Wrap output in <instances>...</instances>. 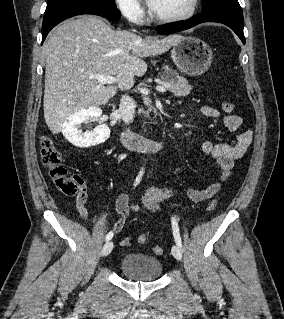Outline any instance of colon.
<instances>
[{
  "mask_svg": "<svg viewBox=\"0 0 284 319\" xmlns=\"http://www.w3.org/2000/svg\"><path fill=\"white\" fill-rule=\"evenodd\" d=\"M222 110L226 113H232L234 110V104L225 101L221 105ZM40 157L43 165L48 169L52 178L55 188L63 195L73 196L75 195L83 185L82 179L77 175H70L67 169L62 164V156L59 150L56 148L54 141L49 136H42L40 139ZM217 206V200L212 199L208 205L207 210L212 211ZM147 237L145 234L138 236V242L145 244ZM121 246H129L130 239L124 238L121 240ZM153 252L156 255H161L163 249L160 246H155Z\"/></svg>",
  "mask_w": 284,
  "mask_h": 319,
  "instance_id": "obj_1",
  "label": "colon"
}]
</instances>
